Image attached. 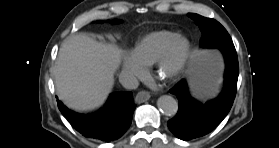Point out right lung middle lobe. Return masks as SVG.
I'll use <instances>...</instances> for the list:
<instances>
[{
	"label": "right lung middle lobe",
	"mask_w": 279,
	"mask_h": 148,
	"mask_svg": "<svg viewBox=\"0 0 279 148\" xmlns=\"http://www.w3.org/2000/svg\"><path fill=\"white\" fill-rule=\"evenodd\" d=\"M117 22H118L117 20H113V21H112V23H117Z\"/></svg>",
	"instance_id": "obj_1"
}]
</instances>
